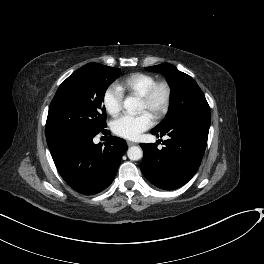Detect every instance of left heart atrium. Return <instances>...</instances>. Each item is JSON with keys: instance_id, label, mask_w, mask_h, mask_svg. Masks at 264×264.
<instances>
[{"instance_id": "39dd6f15", "label": "left heart atrium", "mask_w": 264, "mask_h": 264, "mask_svg": "<svg viewBox=\"0 0 264 264\" xmlns=\"http://www.w3.org/2000/svg\"><path fill=\"white\" fill-rule=\"evenodd\" d=\"M153 125V117L148 112L136 116L123 115L117 118L113 124V132L126 139H136L139 135Z\"/></svg>"}]
</instances>
